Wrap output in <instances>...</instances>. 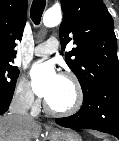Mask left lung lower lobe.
Returning <instances> with one entry per match:
<instances>
[{"label":"left lung lower lobe","instance_id":"0a47b994","mask_svg":"<svg viewBox=\"0 0 119 141\" xmlns=\"http://www.w3.org/2000/svg\"><path fill=\"white\" fill-rule=\"evenodd\" d=\"M56 123L66 128L98 130L119 139V81L95 86L84 95L76 114L58 118Z\"/></svg>","mask_w":119,"mask_h":141}]
</instances>
